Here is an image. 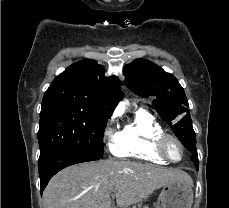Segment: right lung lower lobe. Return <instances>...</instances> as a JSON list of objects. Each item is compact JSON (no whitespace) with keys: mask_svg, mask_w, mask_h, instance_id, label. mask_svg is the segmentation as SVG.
<instances>
[{"mask_svg":"<svg viewBox=\"0 0 229 208\" xmlns=\"http://www.w3.org/2000/svg\"><path fill=\"white\" fill-rule=\"evenodd\" d=\"M99 159L101 158L74 149H65L52 154L48 159L41 162L38 166L41 182V194L49 180L58 171L73 164L95 161Z\"/></svg>","mask_w":229,"mask_h":208,"instance_id":"98d812e1","label":"right lung lower lobe"}]
</instances>
